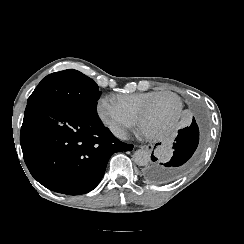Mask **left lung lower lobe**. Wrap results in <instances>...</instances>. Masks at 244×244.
I'll use <instances>...</instances> for the list:
<instances>
[{
  "instance_id": "0a47b994",
  "label": "left lung lower lobe",
  "mask_w": 244,
  "mask_h": 244,
  "mask_svg": "<svg viewBox=\"0 0 244 244\" xmlns=\"http://www.w3.org/2000/svg\"><path fill=\"white\" fill-rule=\"evenodd\" d=\"M199 143V128L195 118L189 127L180 129L173 144V156L166 162H155L157 159L152 155L153 162L147 164L142 177L152 183L165 184L182 177L192 166L196 149Z\"/></svg>"
}]
</instances>
